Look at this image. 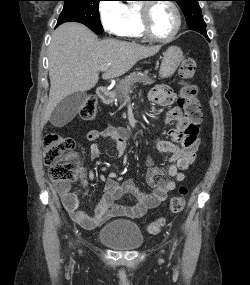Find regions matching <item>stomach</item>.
Masks as SVG:
<instances>
[{"instance_id": "1", "label": "stomach", "mask_w": 250, "mask_h": 285, "mask_svg": "<svg viewBox=\"0 0 250 285\" xmlns=\"http://www.w3.org/2000/svg\"><path fill=\"white\" fill-rule=\"evenodd\" d=\"M183 60V52L177 46H170L163 54L162 62L160 65L159 76L162 79L171 77L181 61Z\"/></svg>"}]
</instances>
